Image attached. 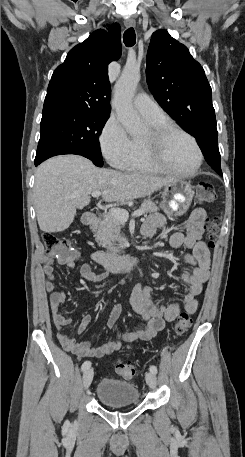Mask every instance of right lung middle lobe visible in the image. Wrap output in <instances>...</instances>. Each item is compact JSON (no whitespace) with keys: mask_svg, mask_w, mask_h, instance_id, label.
I'll list each match as a JSON object with an SVG mask.
<instances>
[{"mask_svg":"<svg viewBox=\"0 0 245 457\" xmlns=\"http://www.w3.org/2000/svg\"><path fill=\"white\" fill-rule=\"evenodd\" d=\"M109 115L83 109L42 113L35 162L60 154H78L102 167L99 135Z\"/></svg>","mask_w":245,"mask_h":457,"instance_id":"right-lung-middle-lobe-1","label":"right lung middle lobe"}]
</instances>
